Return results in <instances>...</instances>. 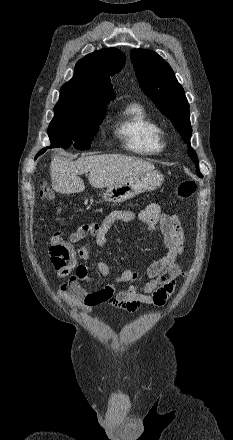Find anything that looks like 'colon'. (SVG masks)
Instances as JSON below:
<instances>
[{"label": "colon", "instance_id": "1", "mask_svg": "<svg viewBox=\"0 0 233 440\" xmlns=\"http://www.w3.org/2000/svg\"><path fill=\"white\" fill-rule=\"evenodd\" d=\"M196 191V183L191 179L183 180L179 183L176 193L177 196L183 199H188L194 195ZM40 196L47 200L51 201L54 198V194L52 190L48 187V185H44L40 191Z\"/></svg>", "mask_w": 233, "mask_h": 440}]
</instances>
